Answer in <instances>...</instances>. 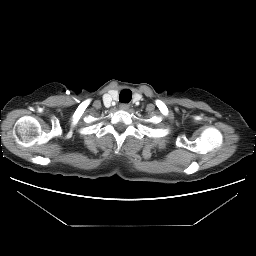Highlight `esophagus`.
<instances>
[{
    "mask_svg": "<svg viewBox=\"0 0 256 256\" xmlns=\"http://www.w3.org/2000/svg\"><path fill=\"white\" fill-rule=\"evenodd\" d=\"M119 108H120L121 110H126V109H128V108H129V105H128V104L123 103V104H120V105H119Z\"/></svg>",
    "mask_w": 256,
    "mask_h": 256,
    "instance_id": "1",
    "label": "esophagus"
}]
</instances>
